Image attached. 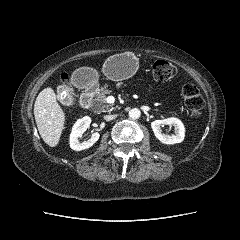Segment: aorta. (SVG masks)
<instances>
[{
	"label": "aorta",
	"mask_w": 240,
	"mask_h": 240,
	"mask_svg": "<svg viewBox=\"0 0 240 240\" xmlns=\"http://www.w3.org/2000/svg\"><path fill=\"white\" fill-rule=\"evenodd\" d=\"M141 115V112L138 108H133L129 111V117L132 119H138Z\"/></svg>",
	"instance_id": "1"
}]
</instances>
